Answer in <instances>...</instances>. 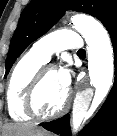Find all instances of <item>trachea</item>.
I'll list each match as a JSON object with an SVG mask.
<instances>
[{
	"label": "trachea",
	"instance_id": "1",
	"mask_svg": "<svg viewBox=\"0 0 117 136\" xmlns=\"http://www.w3.org/2000/svg\"><path fill=\"white\" fill-rule=\"evenodd\" d=\"M78 53H85V50L81 49V50L78 51Z\"/></svg>",
	"mask_w": 117,
	"mask_h": 136
}]
</instances>
